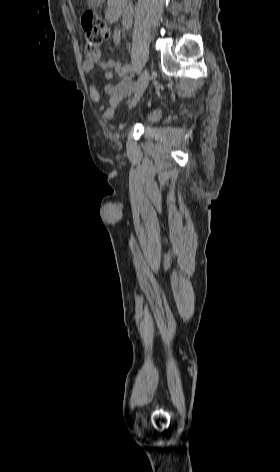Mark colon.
Listing matches in <instances>:
<instances>
[{"instance_id":"1","label":"colon","mask_w":280,"mask_h":472,"mask_svg":"<svg viewBox=\"0 0 280 472\" xmlns=\"http://www.w3.org/2000/svg\"><path fill=\"white\" fill-rule=\"evenodd\" d=\"M85 36V52L87 57L98 53L101 43L109 36V27L92 11H85L80 17Z\"/></svg>"}]
</instances>
